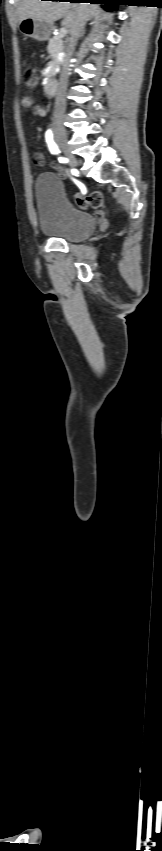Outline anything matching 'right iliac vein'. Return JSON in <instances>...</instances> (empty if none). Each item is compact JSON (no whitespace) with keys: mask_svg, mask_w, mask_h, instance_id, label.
<instances>
[{"mask_svg":"<svg viewBox=\"0 0 162 851\" xmlns=\"http://www.w3.org/2000/svg\"><path fill=\"white\" fill-rule=\"evenodd\" d=\"M58 144H59L61 150L66 155L70 167H72V168L77 167L78 161H77L76 157L71 153L70 148L68 147V144L66 143V141L63 140V139H59Z\"/></svg>","mask_w":162,"mask_h":851,"instance_id":"right-iliac-vein-1","label":"right iliac vein"}]
</instances>
